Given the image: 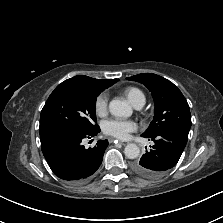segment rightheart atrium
I'll list each match as a JSON object with an SVG mask.
<instances>
[{
  "label": "right heart atrium",
  "mask_w": 223,
  "mask_h": 223,
  "mask_svg": "<svg viewBox=\"0 0 223 223\" xmlns=\"http://www.w3.org/2000/svg\"><path fill=\"white\" fill-rule=\"evenodd\" d=\"M94 107L97 115L103 116L106 114L108 109V96L106 93H101L97 96Z\"/></svg>",
  "instance_id": "1"
}]
</instances>
